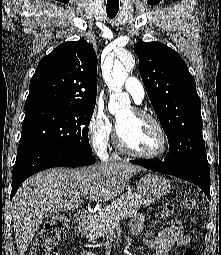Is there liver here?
<instances>
[{
    "label": "liver",
    "instance_id": "liver-1",
    "mask_svg": "<svg viewBox=\"0 0 221 255\" xmlns=\"http://www.w3.org/2000/svg\"><path fill=\"white\" fill-rule=\"evenodd\" d=\"M141 167L108 162L79 169L52 168L28 178L12 199L15 243L24 255L44 216L53 210H75L81 196L106 202L118 196Z\"/></svg>",
    "mask_w": 221,
    "mask_h": 255
}]
</instances>
